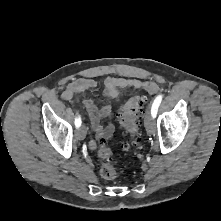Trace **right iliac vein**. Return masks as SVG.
I'll return each instance as SVG.
<instances>
[{
  "instance_id": "1",
  "label": "right iliac vein",
  "mask_w": 221,
  "mask_h": 221,
  "mask_svg": "<svg viewBox=\"0 0 221 221\" xmlns=\"http://www.w3.org/2000/svg\"><path fill=\"white\" fill-rule=\"evenodd\" d=\"M76 137L79 140H83L86 137V129L85 126H82L81 128H79L76 132Z\"/></svg>"
}]
</instances>
